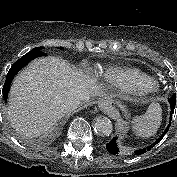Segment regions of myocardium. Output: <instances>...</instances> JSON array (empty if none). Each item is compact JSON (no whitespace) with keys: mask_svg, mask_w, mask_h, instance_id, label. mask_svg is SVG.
Returning a JSON list of instances; mask_svg holds the SVG:
<instances>
[{"mask_svg":"<svg viewBox=\"0 0 177 177\" xmlns=\"http://www.w3.org/2000/svg\"><path fill=\"white\" fill-rule=\"evenodd\" d=\"M127 86L133 90V92L140 95H148L154 93L158 85L152 78L137 77L134 75L128 76Z\"/></svg>","mask_w":177,"mask_h":177,"instance_id":"1","label":"myocardium"}]
</instances>
